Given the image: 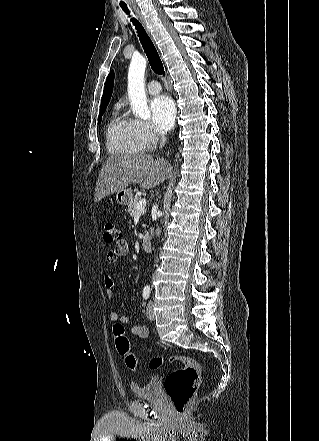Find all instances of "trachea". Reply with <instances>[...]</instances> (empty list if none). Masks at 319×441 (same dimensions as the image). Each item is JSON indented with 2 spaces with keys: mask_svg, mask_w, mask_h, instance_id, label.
<instances>
[{
  "mask_svg": "<svg viewBox=\"0 0 319 441\" xmlns=\"http://www.w3.org/2000/svg\"><path fill=\"white\" fill-rule=\"evenodd\" d=\"M121 7H122L123 11L127 15L130 16V11L128 10V8L125 5H121ZM131 21H132L133 25L135 26L139 40L141 42V45L144 49V52H145L147 58H148V61L150 63L152 70L158 75H165L164 66H163V63L160 59V56H159L153 42L151 41L150 37L146 33L144 27L135 18H131Z\"/></svg>",
  "mask_w": 319,
  "mask_h": 441,
  "instance_id": "trachea-1",
  "label": "trachea"
}]
</instances>
